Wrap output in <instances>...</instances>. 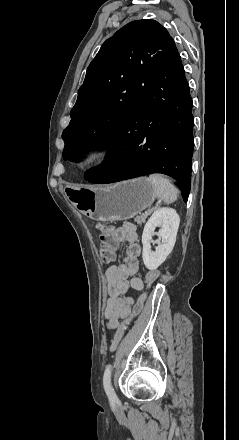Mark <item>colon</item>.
<instances>
[{
	"instance_id": "1",
	"label": "colon",
	"mask_w": 239,
	"mask_h": 440,
	"mask_svg": "<svg viewBox=\"0 0 239 440\" xmlns=\"http://www.w3.org/2000/svg\"><path fill=\"white\" fill-rule=\"evenodd\" d=\"M98 229L100 231L101 257L103 258V260L109 261L111 256L113 255L116 246L115 236H114L115 231L113 227L107 225H99ZM158 277H159V271L156 270L149 272L146 276V287L150 288ZM146 298H147V292H144L135 303L132 314L119 325V327L117 328L116 332L113 335L110 351L113 352L117 349L132 319L141 313Z\"/></svg>"
}]
</instances>
